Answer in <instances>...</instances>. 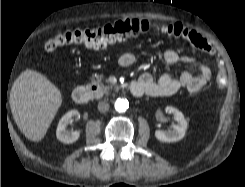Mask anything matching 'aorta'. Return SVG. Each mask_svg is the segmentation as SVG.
I'll return each mask as SVG.
<instances>
[{
	"label": "aorta",
	"mask_w": 245,
	"mask_h": 187,
	"mask_svg": "<svg viewBox=\"0 0 245 187\" xmlns=\"http://www.w3.org/2000/svg\"><path fill=\"white\" fill-rule=\"evenodd\" d=\"M129 107V102L127 99L124 98H118L115 101V109L118 112H125Z\"/></svg>",
	"instance_id": "762f6f07"
}]
</instances>
